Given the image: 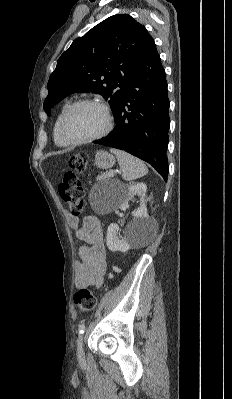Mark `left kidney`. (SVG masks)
<instances>
[{"label":"left kidney","instance_id":"obj_1","mask_svg":"<svg viewBox=\"0 0 232 399\" xmlns=\"http://www.w3.org/2000/svg\"><path fill=\"white\" fill-rule=\"evenodd\" d=\"M146 190L147 186L143 182H139V184L131 182L129 186L123 188L120 209H127L129 207L128 201L132 200L134 196H139L140 205L136 211H132L133 219L127 225L125 237H119V225L117 223L108 225L106 241L111 251H128L130 247L138 245L148 237L151 227L145 201Z\"/></svg>","mask_w":232,"mask_h":399}]
</instances>
